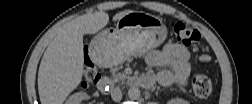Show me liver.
<instances>
[{"instance_id": "1", "label": "liver", "mask_w": 252, "mask_h": 104, "mask_svg": "<svg viewBox=\"0 0 252 104\" xmlns=\"http://www.w3.org/2000/svg\"><path fill=\"white\" fill-rule=\"evenodd\" d=\"M132 10L121 11L113 21ZM109 22L105 12L82 15L60 27L40 62L38 92L43 104H62L82 80L85 34H95Z\"/></svg>"}]
</instances>
